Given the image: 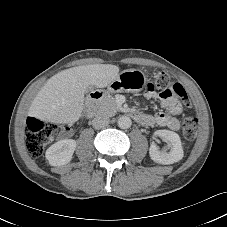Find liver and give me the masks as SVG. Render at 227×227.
<instances>
[{
  "label": "liver",
  "mask_w": 227,
  "mask_h": 227,
  "mask_svg": "<svg viewBox=\"0 0 227 227\" xmlns=\"http://www.w3.org/2000/svg\"><path fill=\"white\" fill-rule=\"evenodd\" d=\"M119 74L111 64H92L63 70L51 77L31 103V116L51 123H74L83 111L89 86L104 88Z\"/></svg>",
  "instance_id": "1"
}]
</instances>
